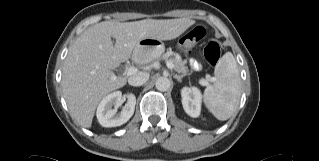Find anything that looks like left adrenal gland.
I'll list each match as a JSON object with an SVG mask.
<instances>
[{
    "label": "left adrenal gland",
    "instance_id": "a2214340",
    "mask_svg": "<svg viewBox=\"0 0 319 161\" xmlns=\"http://www.w3.org/2000/svg\"><path fill=\"white\" fill-rule=\"evenodd\" d=\"M184 76H186V75H177V74H175V75H174V78L177 79L178 82H182V78H183Z\"/></svg>",
    "mask_w": 319,
    "mask_h": 161
}]
</instances>
